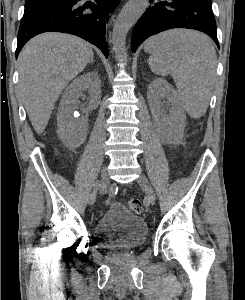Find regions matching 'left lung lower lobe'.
Instances as JSON below:
<instances>
[{
  "label": "left lung lower lobe",
  "instance_id": "0a47b994",
  "mask_svg": "<svg viewBox=\"0 0 245 300\" xmlns=\"http://www.w3.org/2000/svg\"><path fill=\"white\" fill-rule=\"evenodd\" d=\"M172 28L202 31L219 48L211 0H150V6L134 27L132 51L148 37Z\"/></svg>",
  "mask_w": 245,
  "mask_h": 300
}]
</instances>
